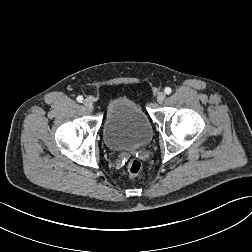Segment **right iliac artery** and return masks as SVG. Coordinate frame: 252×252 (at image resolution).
Returning a JSON list of instances; mask_svg holds the SVG:
<instances>
[{
    "label": "right iliac artery",
    "instance_id": "right-iliac-artery-1",
    "mask_svg": "<svg viewBox=\"0 0 252 252\" xmlns=\"http://www.w3.org/2000/svg\"><path fill=\"white\" fill-rule=\"evenodd\" d=\"M77 101H78V102H82V101H83V97H82V96H78V97H77Z\"/></svg>",
    "mask_w": 252,
    "mask_h": 252
}]
</instances>
